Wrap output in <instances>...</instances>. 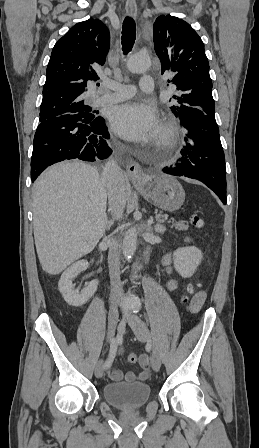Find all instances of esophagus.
<instances>
[{
	"instance_id": "1",
	"label": "esophagus",
	"mask_w": 259,
	"mask_h": 448,
	"mask_svg": "<svg viewBox=\"0 0 259 448\" xmlns=\"http://www.w3.org/2000/svg\"><path fill=\"white\" fill-rule=\"evenodd\" d=\"M126 12L133 18L137 16V4L135 0H126ZM127 174L133 184H140L144 180V172L138 162L131 160L127 165Z\"/></svg>"
}]
</instances>
